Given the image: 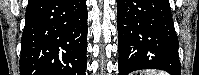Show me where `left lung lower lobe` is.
I'll list each match as a JSON object with an SVG mask.
<instances>
[{
  "label": "left lung lower lobe",
  "mask_w": 199,
  "mask_h": 75,
  "mask_svg": "<svg viewBox=\"0 0 199 75\" xmlns=\"http://www.w3.org/2000/svg\"><path fill=\"white\" fill-rule=\"evenodd\" d=\"M119 75L160 69L181 75L168 0H117Z\"/></svg>",
  "instance_id": "0a47b994"
}]
</instances>
